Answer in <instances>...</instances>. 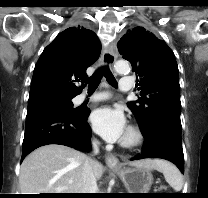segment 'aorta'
I'll use <instances>...</instances> for the list:
<instances>
[{"instance_id":"aorta-1","label":"aorta","mask_w":208,"mask_h":198,"mask_svg":"<svg viewBox=\"0 0 208 198\" xmlns=\"http://www.w3.org/2000/svg\"><path fill=\"white\" fill-rule=\"evenodd\" d=\"M129 69H130V67H129V63L127 61L119 60L115 63V70L119 74H124V73L128 72Z\"/></svg>"}]
</instances>
